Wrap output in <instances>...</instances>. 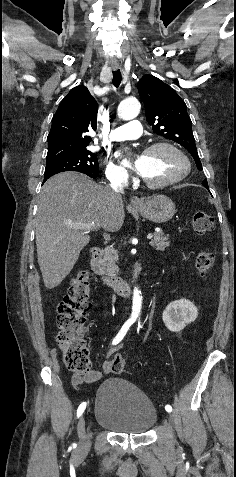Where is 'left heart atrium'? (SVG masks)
Masks as SVG:
<instances>
[{
  "label": "left heart atrium",
  "instance_id": "39dd6f15",
  "mask_svg": "<svg viewBox=\"0 0 236 477\" xmlns=\"http://www.w3.org/2000/svg\"><path fill=\"white\" fill-rule=\"evenodd\" d=\"M140 160H141V157H137L133 162H130L129 160L125 159L124 163L132 167L138 173H140Z\"/></svg>",
  "mask_w": 236,
  "mask_h": 477
}]
</instances>
